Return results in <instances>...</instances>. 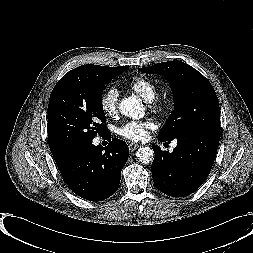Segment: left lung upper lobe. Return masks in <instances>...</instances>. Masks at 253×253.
<instances>
[{
    "label": "left lung upper lobe",
    "mask_w": 253,
    "mask_h": 253,
    "mask_svg": "<svg viewBox=\"0 0 253 253\" xmlns=\"http://www.w3.org/2000/svg\"><path fill=\"white\" fill-rule=\"evenodd\" d=\"M139 70L165 76L173 91L174 111L159 132L160 138L172 141L192 130L220 132L216 93L211 83L199 71L177 60Z\"/></svg>",
    "instance_id": "5c2ea615"
}]
</instances>
